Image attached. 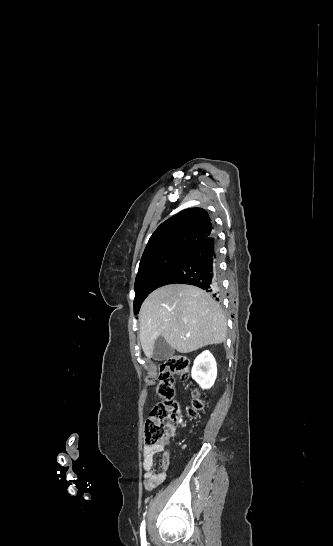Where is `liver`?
Segmentation results:
<instances>
[{
  "instance_id": "obj_1",
  "label": "liver",
  "mask_w": 333,
  "mask_h": 546,
  "mask_svg": "<svg viewBox=\"0 0 333 546\" xmlns=\"http://www.w3.org/2000/svg\"><path fill=\"white\" fill-rule=\"evenodd\" d=\"M140 342L151 358L162 336L173 349L189 353L226 339L227 321L211 294L186 284H169L153 291L139 313Z\"/></svg>"
}]
</instances>
